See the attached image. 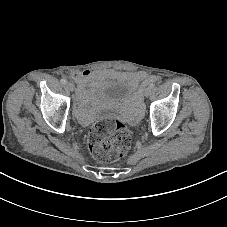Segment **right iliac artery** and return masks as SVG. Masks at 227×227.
I'll return each instance as SVG.
<instances>
[{
	"label": "right iliac artery",
	"instance_id": "82829eb1",
	"mask_svg": "<svg viewBox=\"0 0 227 227\" xmlns=\"http://www.w3.org/2000/svg\"><path fill=\"white\" fill-rule=\"evenodd\" d=\"M60 81H61V83L64 84V85L67 83V80H66V79H61Z\"/></svg>",
	"mask_w": 227,
	"mask_h": 227
}]
</instances>
